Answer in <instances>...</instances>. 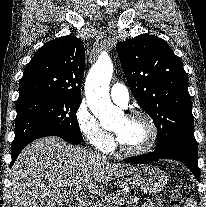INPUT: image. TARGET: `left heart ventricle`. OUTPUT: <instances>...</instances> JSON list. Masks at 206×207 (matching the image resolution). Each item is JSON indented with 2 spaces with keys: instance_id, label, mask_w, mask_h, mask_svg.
Listing matches in <instances>:
<instances>
[{
  "instance_id": "obj_1",
  "label": "left heart ventricle",
  "mask_w": 206,
  "mask_h": 207,
  "mask_svg": "<svg viewBox=\"0 0 206 207\" xmlns=\"http://www.w3.org/2000/svg\"><path fill=\"white\" fill-rule=\"evenodd\" d=\"M121 143L128 149L144 147L150 138L148 124L142 119L128 120L122 117L114 128Z\"/></svg>"
}]
</instances>
